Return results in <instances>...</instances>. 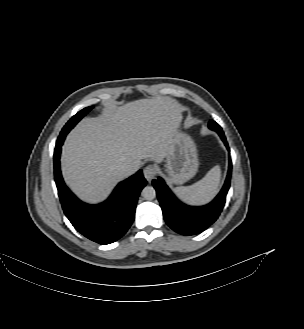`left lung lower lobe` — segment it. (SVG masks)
<instances>
[{
    "label": "left lung lower lobe",
    "instance_id": "obj_1",
    "mask_svg": "<svg viewBox=\"0 0 304 329\" xmlns=\"http://www.w3.org/2000/svg\"><path fill=\"white\" fill-rule=\"evenodd\" d=\"M211 130L216 131L227 147H229L222 128L214 121L208 124ZM232 162L229 161L228 175L220 193L209 204L200 207L187 206L180 202L171 190L166 186L162 178L153 180L157 197L162 208L163 216L168 226L182 235H195L203 232L219 217L226 201V195L230 188Z\"/></svg>",
    "mask_w": 304,
    "mask_h": 329
}]
</instances>
